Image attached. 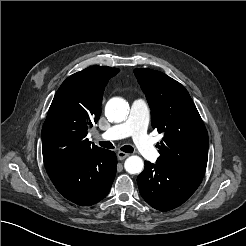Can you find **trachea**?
I'll list each match as a JSON object with an SVG mask.
<instances>
[{
    "label": "trachea",
    "mask_w": 246,
    "mask_h": 246,
    "mask_svg": "<svg viewBox=\"0 0 246 246\" xmlns=\"http://www.w3.org/2000/svg\"><path fill=\"white\" fill-rule=\"evenodd\" d=\"M99 145L101 147L108 148V149H113L114 148L113 144L111 142H109V141H100ZM121 150L123 152H126V153H132L133 152V147L130 146V145H125V146L121 147Z\"/></svg>",
    "instance_id": "3493384b"
}]
</instances>
